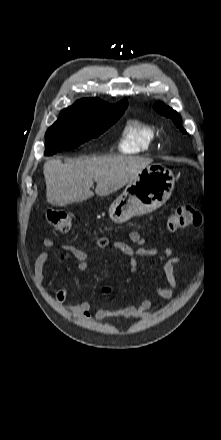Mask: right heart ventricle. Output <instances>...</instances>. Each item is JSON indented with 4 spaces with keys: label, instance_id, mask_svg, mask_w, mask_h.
<instances>
[{
    "label": "right heart ventricle",
    "instance_id": "e07e8e85",
    "mask_svg": "<svg viewBox=\"0 0 221 440\" xmlns=\"http://www.w3.org/2000/svg\"><path fill=\"white\" fill-rule=\"evenodd\" d=\"M160 138V132L153 124L132 119L124 128L119 149L129 154L143 153L152 149Z\"/></svg>",
    "mask_w": 221,
    "mask_h": 440
}]
</instances>
